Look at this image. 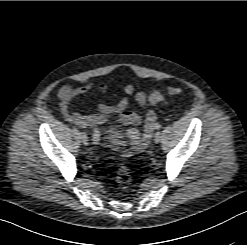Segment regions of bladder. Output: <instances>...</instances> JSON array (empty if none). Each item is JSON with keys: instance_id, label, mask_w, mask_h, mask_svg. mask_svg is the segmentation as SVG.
Returning a JSON list of instances; mask_svg holds the SVG:
<instances>
[{"instance_id": "31cf9c89", "label": "bladder", "mask_w": 247, "mask_h": 245, "mask_svg": "<svg viewBox=\"0 0 247 245\" xmlns=\"http://www.w3.org/2000/svg\"><path fill=\"white\" fill-rule=\"evenodd\" d=\"M106 145L108 148L117 150L121 147V139L117 135L112 134L107 137Z\"/></svg>"}]
</instances>
